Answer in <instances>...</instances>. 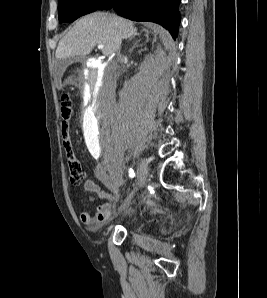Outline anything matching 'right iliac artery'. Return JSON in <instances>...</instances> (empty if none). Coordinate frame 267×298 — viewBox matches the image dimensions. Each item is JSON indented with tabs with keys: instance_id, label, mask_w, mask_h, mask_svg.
<instances>
[{
	"instance_id": "obj_1",
	"label": "right iliac artery",
	"mask_w": 267,
	"mask_h": 298,
	"mask_svg": "<svg viewBox=\"0 0 267 298\" xmlns=\"http://www.w3.org/2000/svg\"><path fill=\"white\" fill-rule=\"evenodd\" d=\"M129 176L131 178H134V176H135L134 171L132 169H129Z\"/></svg>"
}]
</instances>
